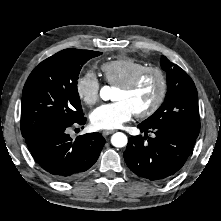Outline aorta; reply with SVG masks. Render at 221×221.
Segmentation results:
<instances>
[{"label": "aorta", "mask_w": 221, "mask_h": 221, "mask_svg": "<svg viewBox=\"0 0 221 221\" xmlns=\"http://www.w3.org/2000/svg\"><path fill=\"white\" fill-rule=\"evenodd\" d=\"M112 90L109 86H104L100 90V97L103 100H109L111 98ZM128 142L127 136L122 132H117L112 135L111 143L115 147H124Z\"/></svg>", "instance_id": "obj_1"}]
</instances>
